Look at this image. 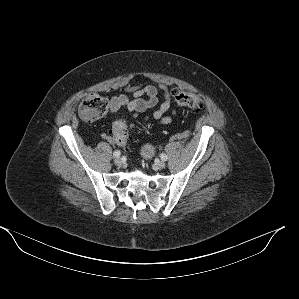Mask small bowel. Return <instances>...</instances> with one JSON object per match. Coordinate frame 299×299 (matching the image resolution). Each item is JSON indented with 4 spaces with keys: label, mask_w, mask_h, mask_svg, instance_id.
Instances as JSON below:
<instances>
[{
    "label": "small bowel",
    "mask_w": 299,
    "mask_h": 299,
    "mask_svg": "<svg viewBox=\"0 0 299 299\" xmlns=\"http://www.w3.org/2000/svg\"><path fill=\"white\" fill-rule=\"evenodd\" d=\"M126 94L114 96L109 101V112L115 114L121 108H126L133 117L138 118L141 113L155 107L159 102V92L163 95V101L152 115L144 117L147 121H154L162 125L171 123L172 119L177 115V110L173 105V92L165 84L143 85L134 84L128 85L125 88ZM170 114H167V113ZM102 138L110 143L119 145L113 135L110 133H103Z\"/></svg>",
    "instance_id": "c3829d8e"
}]
</instances>
